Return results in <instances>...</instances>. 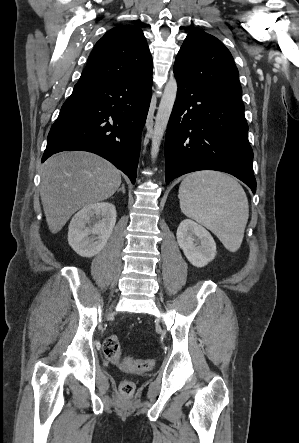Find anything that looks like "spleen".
Instances as JSON below:
<instances>
[{
  "label": "spleen",
  "instance_id": "3e777b00",
  "mask_svg": "<svg viewBox=\"0 0 299 443\" xmlns=\"http://www.w3.org/2000/svg\"><path fill=\"white\" fill-rule=\"evenodd\" d=\"M178 197L181 211L216 234L229 251L240 247L249 206L234 178L213 171L190 174L181 182Z\"/></svg>",
  "mask_w": 299,
  "mask_h": 443
}]
</instances>
